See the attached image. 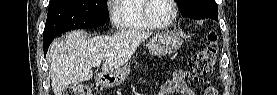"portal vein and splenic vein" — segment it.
<instances>
[{
    "mask_svg": "<svg viewBox=\"0 0 277 95\" xmlns=\"http://www.w3.org/2000/svg\"><path fill=\"white\" fill-rule=\"evenodd\" d=\"M101 64V61L96 62V66H99Z\"/></svg>",
    "mask_w": 277,
    "mask_h": 95,
    "instance_id": "1",
    "label": "portal vein and splenic vein"
}]
</instances>
